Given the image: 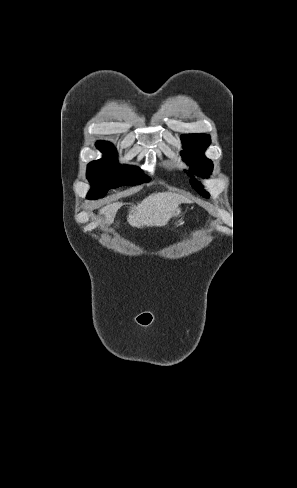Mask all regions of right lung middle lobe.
I'll use <instances>...</instances> for the list:
<instances>
[{
	"label": "right lung middle lobe",
	"instance_id": "1",
	"mask_svg": "<svg viewBox=\"0 0 297 488\" xmlns=\"http://www.w3.org/2000/svg\"><path fill=\"white\" fill-rule=\"evenodd\" d=\"M104 157L92 161L87 167V178L93 183L87 198L95 200L106 195L107 191L119 186H134L149 182L150 178L134 166L118 165L117 153L110 143H103Z\"/></svg>",
	"mask_w": 297,
	"mask_h": 488
}]
</instances>
